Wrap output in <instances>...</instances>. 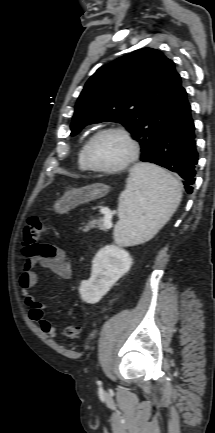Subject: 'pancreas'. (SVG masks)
Wrapping results in <instances>:
<instances>
[{
	"label": "pancreas",
	"instance_id": "obj_1",
	"mask_svg": "<svg viewBox=\"0 0 215 433\" xmlns=\"http://www.w3.org/2000/svg\"><path fill=\"white\" fill-rule=\"evenodd\" d=\"M84 224L85 225L81 228V230L85 233L96 227L100 228L101 230L107 229L104 225V219L91 220Z\"/></svg>",
	"mask_w": 215,
	"mask_h": 433
}]
</instances>
